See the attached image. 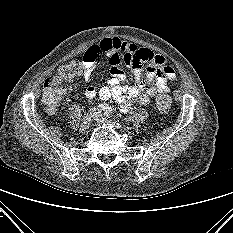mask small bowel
Listing matches in <instances>:
<instances>
[{
    "mask_svg": "<svg viewBox=\"0 0 233 233\" xmlns=\"http://www.w3.org/2000/svg\"><path fill=\"white\" fill-rule=\"evenodd\" d=\"M101 55H105L110 62L111 77L107 84L99 91L94 86L84 90L87 99L94 98L97 94L101 99L112 98L116 101L121 111L126 112L134 104H148L157 93H167L168 80L176 79L175 70L167 65L166 59L144 48H137L119 38H104L97 44L91 45L83 55L82 75L89 81L92 70ZM124 63L134 70L135 83L131 86L121 85L125 75L119 66ZM147 65L146 79L142 78V65ZM155 82L154 85H150ZM75 86L79 88L80 83ZM144 90V93L141 91Z\"/></svg>",
    "mask_w": 233,
    "mask_h": 233,
    "instance_id": "obj_1",
    "label": "small bowel"
}]
</instances>
